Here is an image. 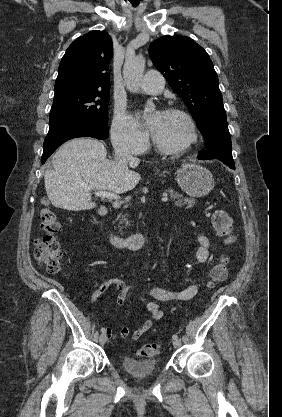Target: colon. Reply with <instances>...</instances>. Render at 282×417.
Masks as SVG:
<instances>
[{"instance_id":"1","label":"colon","mask_w":282,"mask_h":417,"mask_svg":"<svg viewBox=\"0 0 282 417\" xmlns=\"http://www.w3.org/2000/svg\"><path fill=\"white\" fill-rule=\"evenodd\" d=\"M41 236L36 244L35 257L39 265L50 273H57L62 267V253L56 240L61 231V223L57 214L47 200L42 201L39 210ZM210 222L218 237L227 243H233L236 238L232 232V220L226 210L217 209L210 213ZM228 259L222 258L216 263L210 272L208 285L214 287L223 282L228 275ZM158 344L149 343L139 347V356H154L158 352Z\"/></svg>"}]
</instances>
